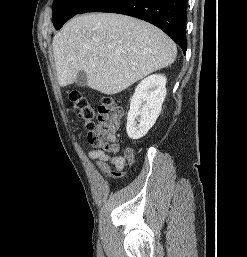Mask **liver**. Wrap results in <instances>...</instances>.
Returning <instances> with one entry per match:
<instances>
[{
	"instance_id": "obj_1",
	"label": "liver",
	"mask_w": 247,
	"mask_h": 257,
	"mask_svg": "<svg viewBox=\"0 0 247 257\" xmlns=\"http://www.w3.org/2000/svg\"><path fill=\"white\" fill-rule=\"evenodd\" d=\"M58 83L76 82L117 94L150 73L171 65L175 43L154 25L114 13H91L71 19L52 41Z\"/></svg>"
}]
</instances>
